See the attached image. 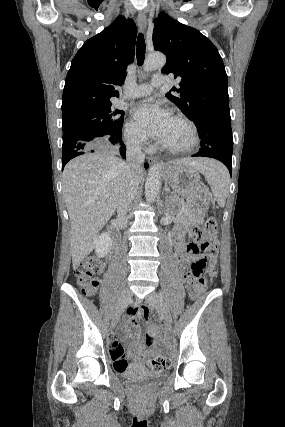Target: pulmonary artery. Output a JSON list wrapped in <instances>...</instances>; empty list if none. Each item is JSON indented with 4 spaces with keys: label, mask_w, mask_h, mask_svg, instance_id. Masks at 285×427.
I'll return each instance as SVG.
<instances>
[{
    "label": "pulmonary artery",
    "mask_w": 285,
    "mask_h": 427,
    "mask_svg": "<svg viewBox=\"0 0 285 427\" xmlns=\"http://www.w3.org/2000/svg\"><path fill=\"white\" fill-rule=\"evenodd\" d=\"M166 83V77L163 75L156 74L153 76L150 83H142L136 86L133 90L125 91L124 98H138L150 95L153 89L157 86Z\"/></svg>",
    "instance_id": "1"
}]
</instances>
